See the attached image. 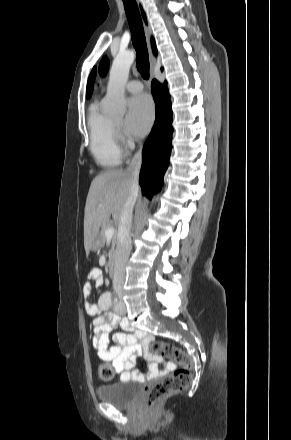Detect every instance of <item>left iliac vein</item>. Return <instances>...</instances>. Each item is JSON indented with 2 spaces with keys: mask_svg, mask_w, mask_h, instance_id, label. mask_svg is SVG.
I'll use <instances>...</instances> for the list:
<instances>
[{
  "mask_svg": "<svg viewBox=\"0 0 291 440\" xmlns=\"http://www.w3.org/2000/svg\"><path fill=\"white\" fill-rule=\"evenodd\" d=\"M115 312L118 314V315H120V316H124V315H126V306L125 305H120V306H117L116 308H115Z\"/></svg>",
  "mask_w": 291,
  "mask_h": 440,
  "instance_id": "4c4485c4",
  "label": "left iliac vein"
}]
</instances>
